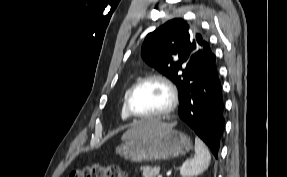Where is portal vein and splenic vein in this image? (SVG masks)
Segmentation results:
<instances>
[{
    "mask_svg": "<svg viewBox=\"0 0 287 177\" xmlns=\"http://www.w3.org/2000/svg\"><path fill=\"white\" fill-rule=\"evenodd\" d=\"M158 177H162V175H158Z\"/></svg>",
    "mask_w": 287,
    "mask_h": 177,
    "instance_id": "1",
    "label": "portal vein and splenic vein"
}]
</instances>
